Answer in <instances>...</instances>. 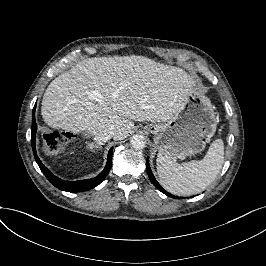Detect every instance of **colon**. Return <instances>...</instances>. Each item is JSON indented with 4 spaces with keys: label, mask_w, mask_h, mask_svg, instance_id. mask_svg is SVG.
Instances as JSON below:
<instances>
[{
    "label": "colon",
    "mask_w": 266,
    "mask_h": 266,
    "mask_svg": "<svg viewBox=\"0 0 266 266\" xmlns=\"http://www.w3.org/2000/svg\"><path fill=\"white\" fill-rule=\"evenodd\" d=\"M58 131L47 132L42 137L43 148L49 153H58L64 147V140Z\"/></svg>",
    "instance_id": "1"
}]
</instances>
